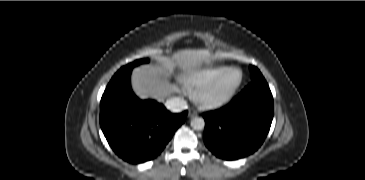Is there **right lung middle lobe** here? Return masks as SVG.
<instances>
[{
  "label": "right lung middle lobe",
  "mask_w": 365,
  "mask_h": 180,
  "mask_svg": "<svg viewBox=\"0 0 365 180\" xmlns=\"http://www.w3.org/2000/svg\"><path fill=\"white\" fill-rule=\"evenodd\" d=\"M149 60L148 59H140V60H136L124 67H122L117 73L119 72H123V71H126V70H131L133 67L141 64V63H145V62H148Z\"/></svg>",
  "instance_id": "obj_1"
}]
</instances>
